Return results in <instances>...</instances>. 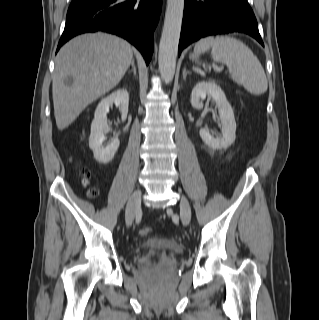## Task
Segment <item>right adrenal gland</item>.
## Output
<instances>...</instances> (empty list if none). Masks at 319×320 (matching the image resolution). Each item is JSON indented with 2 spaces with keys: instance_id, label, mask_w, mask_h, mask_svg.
Wrapping results in <instances>:
<instances>
[{
  "instance_id": "1",
  "label": "right adrenal gland",
  "mask_w": 319,
  "mask_h": 320,
  "mask_svg": "<svg viewBox=\"0 0 319 320\" xmlns=\"http://www.w3.org/2000/svg\"><path fill=\"white\" fill-rule=\"evenodd\" d=\"M131 66H132V70H131V71H133L134 75H136L137 72H136V66H135V61H134V59L132 60ZM131 71H129V73H130Z\"/></svg>"
}]
</instances>
